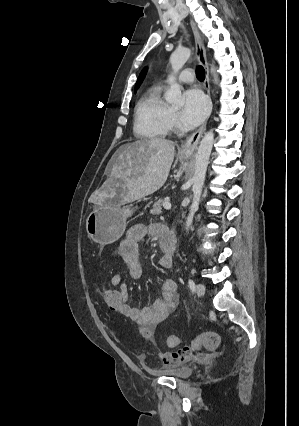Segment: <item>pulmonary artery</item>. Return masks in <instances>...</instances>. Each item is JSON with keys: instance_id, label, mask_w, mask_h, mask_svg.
<instances>
[{"instance_id": "pulmonary-artery-1", "label": "pulmonary artery", "mask_w": 299, "mask_h": 426, "mask_svg": "<svg viewBox=\"0 0 299 426\" xmlns=\"http://www.w3.org/2000/svg\"><path fill=\"white\" fill-rule=\"evenodd\" d=\"M194 80V72L191 69H185L178 75V81L191 83Z\"/></svg>"}]
</instances>
